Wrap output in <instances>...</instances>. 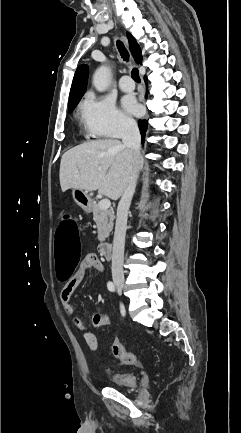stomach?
Returning <instances> with one entry per match:
<instances>
[{"mask_svg": "<svg viewBox=\"0 0 241 433\" xmlns=\"http://www.w3.org/2000/svg\"><path fill=\"white\" fill-rule=\"evenodd\" d=\"M72 195L75 203L80 206L85 212L91 211L93 200L88 191L73 189Z\"/></svg>", "mask_w": 241, "mask_h": 433, "instance_id": "stomach-1", "label": "stomach"}]
</instances>
